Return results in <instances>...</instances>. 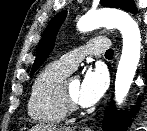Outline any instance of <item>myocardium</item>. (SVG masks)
Returning <instances> with one entry per match:
<instances>
[{
    "label": "myocardium",
    "instance_id": "obj_1",
    "mask_svg": "<svg viewBox=\"0 0 147 131\" xmlns=\"http://www.w3.org/2000/svg\"><path fill=\"white\" fill-rule=\"evenodd\" d=\"M68 80L69 79L65 78L61 84V98L66 112L74 113L78 111L79 106H78V102L71 97L68 91V87H67Z\"/></svg>",
    "mask_w": 147,
    "mask_h": 131
}]
</instances>
